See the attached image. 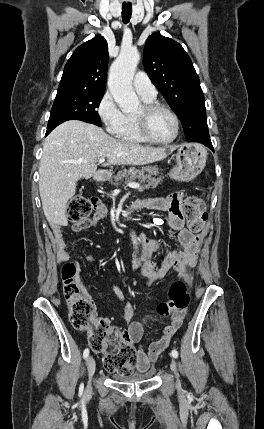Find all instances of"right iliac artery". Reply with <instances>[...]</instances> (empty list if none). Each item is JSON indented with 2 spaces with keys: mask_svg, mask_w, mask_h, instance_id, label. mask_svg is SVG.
I'll list each match as a JSON object with an SVG mask.
<instances>
[{
  "mask_svg": "<svg viewBox=\"0 0 264 429\" xmlns=\"http://www.w3.org/2000/svg\"><path fill=\"white\" fill-rule=\"evenodd\" d=\"M88 355H89V349L86 348L83 352V357L86 359L88 357Z\"/></svg>",
  "mask_w": 264,
  "mask_h": 429,
  "instance_id": "82829eb1",
  "label": "right iliac artery"
}]
</instances>
